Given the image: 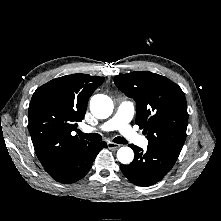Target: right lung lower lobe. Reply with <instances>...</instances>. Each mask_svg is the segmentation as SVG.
I'll return each mask as SVG.
<instances>
[{
  "label": "right lung lower lobe",
  "mask_w": 221,
  "mask_h": 221,
  "mask_svg": "<svg viewBox=\"0 0 221 221\" xmlns=\"http://www.w3.org/2000/svg\"><path fill=\"white\" fill-rule=\"evenodd\" d=\"M106 147V142L91 143L75 157L53 167L48 173L54 180L61 183L69 184L78 181L88 173L97 154Z\"/></svg>",
  "instance_id": "98d812e1"
}]
</instances>
